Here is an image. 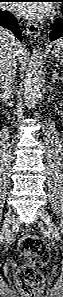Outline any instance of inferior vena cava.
Masks as SVG:
<instances>
[{
    "instance_id": "obj_1",
    "label": "inferior vena cava",
    "mask_w": 63,
    "mask_h": 297,
    "mask_svg": "<svg viewBox=\"0 0 63 297\" xmlns=\"http://www.w3.org/2000/svg\"><path fill=\"white\" fill-rule=\"evenodd\" d=\"M17 45L18 41L11 35L8 47L0 53V89L3 100H8L13 92L17 69Z\"/></svg>"
}]
</instances>
